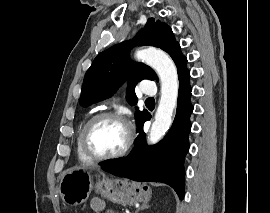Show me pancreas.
<instances>
[{"label": "pancreas", "mask_w": 270, "mask_h": 213, "mask_svg": "<svg viewBox=\"0 0 270 213\" xmlns=\"http://www.w3.org/2000/svg\"><path fill=\"white\" fill-rule=\"evenodd\" d=\"M106 213H118V212H115L114 210H108Z\"/></svg>", "instance_id": "cf45deb5"}]
</instances>
